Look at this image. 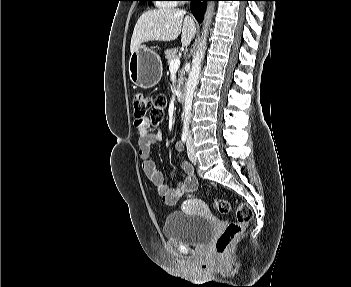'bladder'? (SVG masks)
<instances>
[{
  "label": "bladder",
  "instance_id": "obj_1",
  "mask_svg": "<svg viewBox=\"0 0 351 287\" xmlns=\"http://www.w3.org/2000/svg\"><path fill=\"white\" fill-rule=\"evenodd\" d=\"M215 221L204 217H193L181 211L168 214L163 226L166 239L176 240L183 245L199 246L208 240L214 230Z\"/></svg>",
  "mask_w": 351,
  "mask_h": 287
}]
</instances>
